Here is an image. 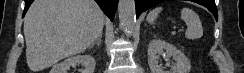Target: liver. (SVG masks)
I'll list each match as a JSON object with an SVG mask.
<instances>
[{
  "instance_id": "6515ba94",
  "label": "liver",
  "mask_w": 244,
  "mask_h": 73,
  "mask_svg": "<svg viewBox=\"0 0 244 73\" xmlns=\"http://www.w3.org/2000/svg\"><path fill=\"white\" fill-rule=\"evenodd\" d=\"M104 22L93 0H35L24 18L28 67L41 71L83 52L102 34Z\"/></svg>"
}]
</instances>
